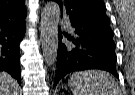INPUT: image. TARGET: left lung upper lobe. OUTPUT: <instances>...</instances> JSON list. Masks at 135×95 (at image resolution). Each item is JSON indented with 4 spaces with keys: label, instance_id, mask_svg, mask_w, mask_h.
I'll use <instances>...</instances> for the list:
<instances>
[{
    "label": "left lung upper lobe",
    "instance_id": "left-lung-upper-lobe-1",
    "mask_svg": "<svg viewBox=\"0 0 135 95\" xmlns=\"http://www.w3.org/2000/svg\"><path fill=\"white\" fill-rule=\"evenodd\" d=\"M77 32L113 34L103 0H54Z\"/></svg>",
    "mask_w": 135,
    "mask_h": 95
}]
</instances>
